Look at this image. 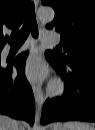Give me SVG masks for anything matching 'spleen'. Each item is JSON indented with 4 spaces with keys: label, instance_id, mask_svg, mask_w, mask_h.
I'll return each mask as SVG.
<instances>
[{
    "label": "spleen",
    "instance_id": "obj_1",
    "mask_svg": "<svg viewBox=\"0 0 95 130\" xmlns=\"http://www.w3.org/2000/svg\"><path fill=\"white\" fill-rule=\"evenodd\" d=\"M65 130H95V128L86 122L68 121L64 124Z\"/></svg>",
    "mask_w": 95,
    "mask_h": 130
}]
</instances>
